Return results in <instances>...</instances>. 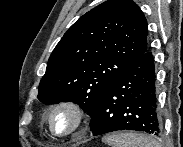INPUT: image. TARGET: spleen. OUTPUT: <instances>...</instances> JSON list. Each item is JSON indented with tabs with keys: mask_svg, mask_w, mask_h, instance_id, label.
<instances>
[{
	"mask_svg": "<svg viewBox=\"0 0 183 147\" xmlns=\"http://www.w3.org/2000/svg\"><path fill=\"white\" fill-rule=\"evenodd\" d=\"M111 147H160L152 138L135 132H115L103 137Z\"/></svg>",
	"mask_w": 183,
	"mask_h": 147,
	"instance_id": "spleen-1",
	"label": "spleen"
}]
</instances>
